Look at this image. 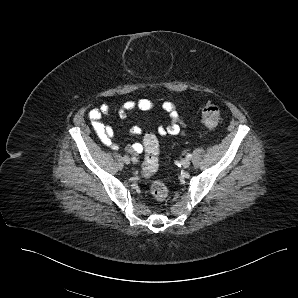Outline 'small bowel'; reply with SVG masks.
I'll return each instance as SVG.
<instances>
[{
	"instance_id": "1",
	"label": "small bowel",
	"mask_w": 298,
	"mask_h": 298,
	"mask_svg": "<svg viewBox=\"0 0 298 298\" xmlns=\"http://www.w3.org/2000/svg\"><path fill=\"white\" fill-rule=\"evenodd\" d=\"M154 104L151 100L142 98L136 101H126L119 109V116L125 118L128 112L132 110L148 111L153 108ZM162 109L168 114L171 122L169 125H160L157 128V133L159 136H177L185 132V123L183 116L177 110L176 106L170 102L165 101L162 103ZM110 112V107L107 104H101L95 107L89 112L90 124L99 137L100 141L107 147L117 150L119 148L118 144L114 142V130L112 127L105 125L102 122V117L108 115ZM130 133L132 135H139L142 133L140 126L135 125L130 128ZM129 152L139 154L143 151L141 143H134L128 147Z\"/></svg>"
}]
</instances>
